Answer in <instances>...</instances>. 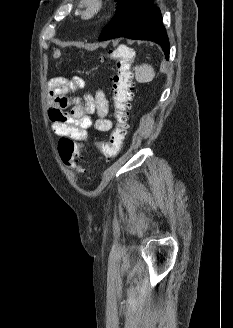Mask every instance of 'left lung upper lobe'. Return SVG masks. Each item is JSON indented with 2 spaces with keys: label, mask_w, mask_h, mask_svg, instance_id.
Masks as SVG:
<instances>
[{
  "label": "left lung upper lobe",
  "mask_w": 233,
  "mask_h": 328,
  "mask_svg": "<svg viewBox=\"0 0 233 328\" xmlns=\"http://www.w3.org/2000/svg\"><path fill=\"white\" fill-rule=\"evenodd\" d=\"M115 1L117 2V7H116L117 10L115 13H117L127 0H115Z\"/></svg>",
  "instance_id": "5c2ea615"
}]
</instances>
